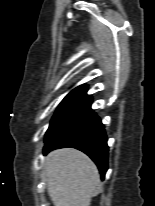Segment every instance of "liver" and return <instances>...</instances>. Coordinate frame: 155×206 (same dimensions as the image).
<instances>
[{
  "label": "liver",
  "mask_w": 155,
  "mask_h": 206,
  "mask_svg": "<svg viewBox=\"0 0 155 206\" xmlns=\"http://www.w3.org/2000/svg\"><path fill=\"white\" fill-rule=\"evenodd\" d=\"M44 168L54 206H90L100 175L87 155L72 148L55 150L47 155Z\"/></svg>",
  "instance_id": "obj_1"
}]
</instances>
